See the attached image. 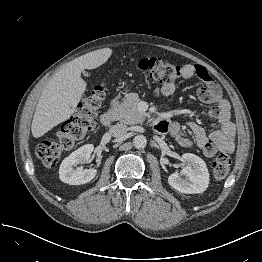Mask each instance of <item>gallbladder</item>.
<instances>
[{"label": "gallbladder", "instance_id": "gallbladder-1", "mask_svg": "<svg viewBox=\"0 0 262 262\" xmlns=\"http://www.w3.org/2000/svg\"><path fill=\"white\" fill-rule=\"evenodd\" d=\"M83 76H84L85 78H89V77L91 76V73L88 72V71H83Z\"/></svg>", "mask_w": 262, "mask_h": 262}]
</instances>
